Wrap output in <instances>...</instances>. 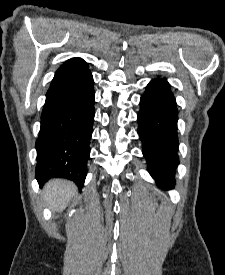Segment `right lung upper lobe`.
<instances>
[{"label": "right lung upper lobe", "mask_w": 225, "mask_h": 275, "mask_svg": "<svg viewBox=\"0 0 225 275\" xmlns=\"http://www.w3.org/2000/svg\"><path fill=\"white\" fill-rule=\"evenodd\" d=\"M91 79L87 63L81 58H71L56 71L48 92L83 84Z\"/></svg>", "instance_id": "1"}]
</instances>
